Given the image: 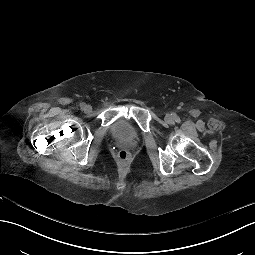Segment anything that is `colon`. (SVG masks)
I'll list each match as a JSON object with an SVG mask.
<instances>
[{"mask_svg": "<svg viewBox=\"0 0 255 255\" xmlns=\"http://www.w3.org/2000/svg\"><path fill=\"white\" fill-rule=\"evenodd\" d=\"M118 158L124 162L128 159V153L126 151H120L118 154Z\"/></svg>", "mask_w": 255, "mask_h": 255, "instance_id": "1", "label": "colon"}]
</instances>
